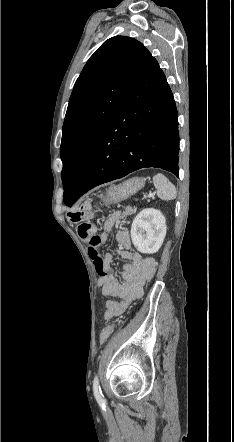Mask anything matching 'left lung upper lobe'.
Instances as JSON below:
<instances>
[{"label": "left lung upper lobe", "instance_id": "obj_1", "mask_svg": "<svg viewBox=\"0 0 234 442\" xmlns=\"http://www.w3.org/2000/svg\"><path fill=\"white\" fill-rule=\"evenodd\" d=\"M151 59L139 41L115 36L84 66L70 96L62 130L64 203L75 194L101 131Z\"/></svg>", "mask_w": 234, "mask_h": 442}]
</instances>
